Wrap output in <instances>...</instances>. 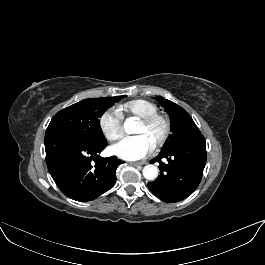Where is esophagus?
<instances>
[{
    "mask_svg": "<svg viewBox=\"0 0 265 265\" xmlns=\"http://www.w3.org/2000/svg\"><path fill=\"white\" fill-rule=\"evenodd\" d=\"M131 165H133V166H141V165H144L145 164V161H140V162H131L130 163Z\"/></svg>",
    "mask_w": 265,
    "mask_h": 265,
    "instance_id": "esophagus-1",
    "label": "esophagus"
}]
</instances>
